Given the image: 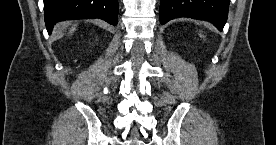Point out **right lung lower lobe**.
<instances>
[{"label":"right lung lower lobe","mask_w":276,"mask_h":145,"mask_svg":"<svg viewBox=\"0 0 276 145\" xmlns=\"http://www.w3.org/2000/svg\"><path fill=\"white\" fill-rule=\"evenodd\" d=\"M118 10V0H44L48 33L57 22L73 19L100 18L115 26Z\"/></svg>","instance_id":"1"}]
</instances>
